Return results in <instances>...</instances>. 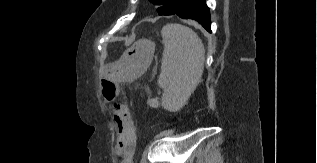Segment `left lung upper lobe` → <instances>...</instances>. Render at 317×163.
Here are the masks:
<instances>
[{"mask_svg": "<svg viewBox=\"0 0 317 163\" xmlns=\"http://www.w3.org/2000/svg\"><path fill=\"white\" fill-rule=\"evenodd\" d=\"M155 5H162L157 9L160 15H172L184 0H149Z\"/></svg>", "mask_w": 317, "mask_h": 163, "instance_id": "left-lung-upper-lobe-1", "label": "left lung upper lobe"}]
</instances>
